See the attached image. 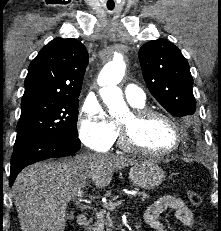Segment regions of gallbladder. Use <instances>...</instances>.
Instances as JSON below:
<instances>
[{
    "label": "gallbladder",
    "instance_id": "1",
    "mask_svg": "<svg viewBox=\"0 0 221 231\" xmlns=\"http://www.w3.org/2000/svg\"><path fill=\"white\" fill-rule=\"evenodd\" d=\"M73 218H74L73 213H69V214L67 215V219L72 220Z\"/></svg>",
    "mask_w": 221,
    "mask_h": 231
}]
</instances>
